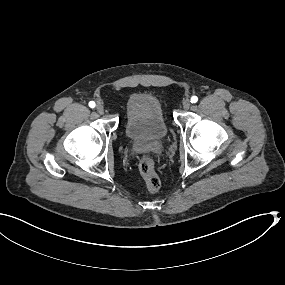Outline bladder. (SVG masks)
<instances>
[{
  "mask_svg": "<svg viewBox=\"0 0 285 285\" xmlns=\"http://www.w3.org/2000/svg\"><path fill=\"white\" fill-rule=\"evenodd\" d=\"M128 108L125 137L133 144L154 145L167 139L169 133L162 121V105L150 92H135L126 102Z\"/></svg>",
  "mask_w": 285,
  "mask_h": 285,
  "instance_id": "bladder-1",
  "label": "bladder"
}]
</instances>
